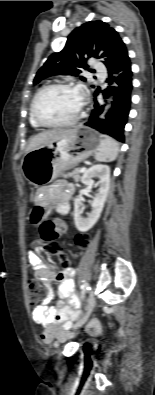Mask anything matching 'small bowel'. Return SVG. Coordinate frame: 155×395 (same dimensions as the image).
<instances>
[{"label": "small bowel", "mask_w": 155, "mask_h": 395, "mask_svg": "<svg viewBox=\"0 0 155 395\" xmlns=\"http://www.w3.org/2000/svg\"><path fill=\"white\" fill-rule=\"evenodd\" d=\"M73 193V186L65 181H57L43 187L39 192V207L46 209L53 205L60 210L66 211ZM59 231L66 229L65 223L54 222ZM28 261L32 267L34 277L43 284L46 290V298L42 304L34 308L32 317L35 323L42 325L44 331L41 339L46 344H51L54 340L58 342L69 338L67 331L77 316L79 301L74 294V272L57 270L54 264H46L43 259L34 252L28 253ZM58 284V295L67 301V304H60L56 307H49L54 298L52 284ZM96 328V326H92Z\"/></svg>", "instance_id": "small-bowel-1"}]
</instances>
